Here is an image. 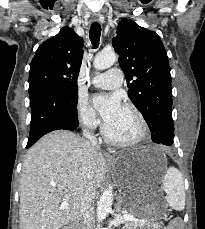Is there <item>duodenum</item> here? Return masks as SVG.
<instances>
[{
    "label": "duodenum",
    "mask_w": 205,
    "mask_h": 229,
    "mask_svg": "<svg viewBox=\"0 0 205 229\" xmlns=\"http://www.w3.org/2000/svg\"><path fill=\"white\" fill-rule=\"evenodd\" d=\"M64 229H79V225L75 224L73 226H70V227H67V228H64Z\"/></svg>",
    "instance_id": "obj_1"
}]
</instances>
